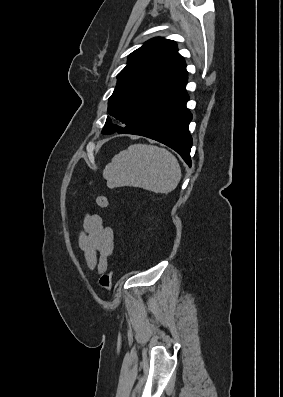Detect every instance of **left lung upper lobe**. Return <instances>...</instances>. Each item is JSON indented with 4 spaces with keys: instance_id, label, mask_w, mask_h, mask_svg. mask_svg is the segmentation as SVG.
Here are the masks:
<instances>
[{
    "instance_id": "5c2ea615",
    "label": "left lung upper lobe",
    "mask_w": 283,
    "mask_h": 397,
    "mask_svg": "<svg viewBox=\"0 0 283 397\" xmlns=\"http://www.w3.org/2000/svg\"><path fill=\"white\" fill-rule=\"evenodd\" d=\"M117 79L108 112L125 126L114 125L108 118L103 128L105 134L119 132L156 103L182 89L187 83L186 64L175 41L153 38L128 56V64Z\"/></svg>"
}]
</instances>
